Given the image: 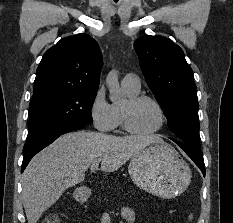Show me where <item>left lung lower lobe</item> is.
I'll return each mask as SVG.
<instances>
[{"instance_id": "left-lung-lower-lobe-1", "label": "left lung lower lobe", "mask_w": 233, "mask_h": 223, "mask_svg": "<svg viewBox=\"0 0 233 223\" xmlns=\"http://www.w3.org/2000/svg\"><path fill=\"white\" fill-rule=\"evenodd\" d=\"M183 151L194 161V163L200 168L201 172L205 176V166L203 153L200 150V147L189 146L185 144L176 143Z\"/></svg>"}]
</instances>
